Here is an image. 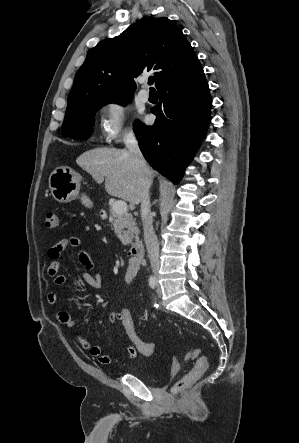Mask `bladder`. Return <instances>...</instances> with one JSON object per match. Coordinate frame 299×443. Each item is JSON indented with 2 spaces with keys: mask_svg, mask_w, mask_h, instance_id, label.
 <instances>
[{
  "mask_svg": "<svg viewBox=\"0 0 299 443\" xmlns=\"http://www.w3.org/2000/svg\"><path fill=\"white\" fill-rule=\"evenodd\" d=\"M131 374L137 376L143 382L150 385H158L162 383L168 376V373H158L154 370L147 368L143 362L138 364L131 372Z\"/></svg>",
  "mask_w": 299,
  "mask_h": 443,
  "instance_id": "obj_1",
  "label": "bladder"
}]
</instances>
